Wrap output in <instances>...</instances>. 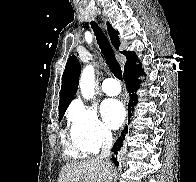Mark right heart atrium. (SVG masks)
<instances>
[{"instance_id": "obj_1", "label": "right heart atrium", "mask_w": 196, "mask_h": 182, "mask_svg": "<svg viewBox=\"0 0 196 182\" xmlns=\"http://www.w3.org/2000/svg\"><path fill=\"white\" fill-rule=\"evenodd\" d=\"M69 121L73 141L84 154L96 153L111 143V132L93 107L74 104L69 111Z\"/></svg>"}]
</instances>
